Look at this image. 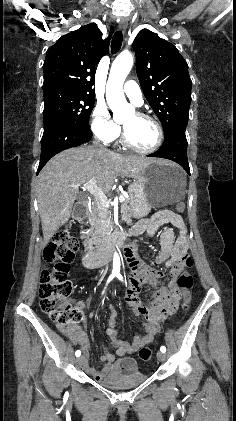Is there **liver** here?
Masks as SVG:
<instances>
[{
  "label": "liver",
  "mask_w": 236,
  "mask_h": 421,
  "mask_svg": "<svg viewBox=\"0 0 236 421\" xmlns=\"http://www.w3.org/2000/svg\"><path fill=\"white\" fill-rule=\"evenodd\" d=\"M157 162L148 156H122L108 148L79 146L55 154L38 174L37 200L43 231V245L49 243L59 227L66 225L78 188L70 184H86L96 178L104 192H109L120 174L136 178L139 168Z\"/></svg>",
  "instance_id": "liver-1"
}]
</instances>
